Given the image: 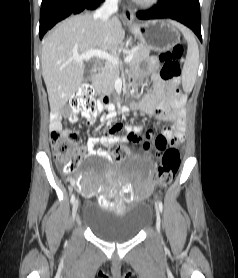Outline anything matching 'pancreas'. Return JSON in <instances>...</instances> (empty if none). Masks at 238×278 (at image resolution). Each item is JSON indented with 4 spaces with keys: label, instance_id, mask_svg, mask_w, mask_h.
<instances>
[{
    "label": "pancreas",
    "instance_id": "cf45deb5",
    "mask_svg": "<svg viewBox=\"0 0 238 278\" xmlns=\"http://www.w3.org/2000/svg\"><path fill=\"white\" fill-rule=\"evenodd\" d=\"M151 48L145 45H138L134 47L131 53L134 54L133 59L130 61L131 65H136L145 58L149 57ZM119 77V69L117 66L108 63L106 64L100 73L97 74L93 85L96 90L102 93H112L114 91V85L116 79Z\"/></svg>",
    "mask_w": 238,
    "mask_h": 278
}]
</instances>
